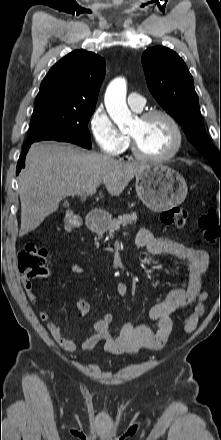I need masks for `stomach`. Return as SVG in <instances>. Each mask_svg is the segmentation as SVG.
<instances>
[{
	"instance_id": "obj_1",
	"label": "stomach",
	"mask_w": 221,
	"mask_h": 440,
	"mask_svg": "<svg viewBox=\"0 0 221 440\" xmlns=\"http://www.w3.org/2000/svg\"><path fill=\"white\" fill-rule=\"evenodd\" d=\"M135 188L140 200L152 211L162 212L181 204L187 195L184 177L162 164L149 165L136 175Z\"/></svg>"
}]
</instances>
